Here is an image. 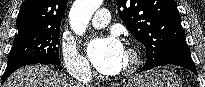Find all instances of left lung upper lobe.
<instances>
[{"mask_svg":"<svg viewBox=\"0 0 205 87\" xmlns=\"http://www.w3.org/2000/svg\"><path fill=\"white\" fill-rule=\"evenodd\" d=\"M119 15L146 47V66L156 67L174 49L187 46L175 0H117Z\"/></svg>","mask_w":205,"mask_h":87,"instance_id":"obj_1","label":"left lung upper lobe"}]
</instances>
